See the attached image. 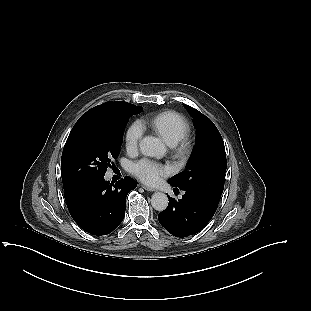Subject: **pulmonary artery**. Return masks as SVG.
<instances>
[{
	"instance_id": "e3ab8cb5",
	"label": "pulmonary artery",
	"mask_w": 311,
	"mask_h": 311,
	"mask_svg": "<svg viewBox=\"0 0 311 311\" xmlns=\"http://www.w3.org/2000/svg\"><path fill=\"white\" fill-rule=\"evenodd\" d=\"M167 144H168V146L170 147V148H174L175 146H176V142H174V141H169V142H167Z\"/></svg>"
}]
</instances>
